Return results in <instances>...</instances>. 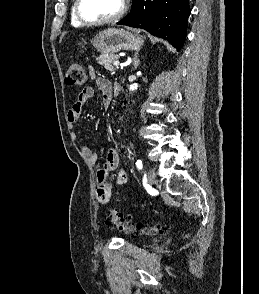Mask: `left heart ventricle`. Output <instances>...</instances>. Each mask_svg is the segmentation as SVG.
<instances>
[{"instance_id": "left-heart-ventricle-1", "label": "left heart ventricle", "mask_w": 259, "mask_h": 294, "mask_svg": "<svg viewBox=\"0 0 259 294\" xmlns=\"http://www.w3.org/2000/svg\"><path fill=\"white\" fill-rule=\"evenodd\" d=\"M121 0H83L81 13L88 20H101L115 15Z\"/></svg>"}]
</instances>
